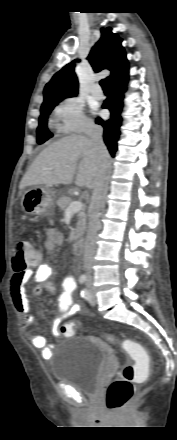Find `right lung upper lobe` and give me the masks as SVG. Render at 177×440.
<instances>
[{"label": "right lung upper lobe", "mask_w": 177, "mask_h": 440, "mask_svg": "<svg viewBox=\"0 0 177 440\" xmlns=\"http://www.w3.org/2000/svg\"><path fill=\"white\" fill-rule=\"evenodd\" d=\"M111 30V28L101 29V38L92 47L87 57L95 72L103 69L110 70L111 75L107 77L108 82L128 66L125 50L121 46L122 39ZM79 61V59H75L64 66L46 84L43 91V104L58 102L78 94V79L74 71V62Z\"/></svg>", "instance_id": "obj_1"}]
</instances>
